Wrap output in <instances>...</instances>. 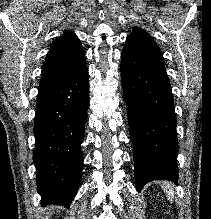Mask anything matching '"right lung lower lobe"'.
<instances>
[{
  "label": "right lung lower lobe",
  "mask_w": 211,
  "mask_h": 219,
  "mask_svg": "<svg viewBox=\"0 0 211 219\" xmlns=\"http://www.w3.org/2000/svg\"><path fill=\"white\" fill-rule=\"evenodd\" d=\"M89 106L86 61L38 88L33 161L41 204L69 207L82 181L81 143Z\"/></svg>",
  "instance_id": "right-lung-lower-lobe-1"
}]
</instances>
